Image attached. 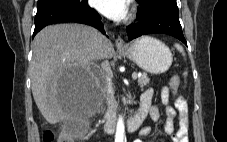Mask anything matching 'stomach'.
I'll return each mask as SVG.
<instances>
[{
  "instance_id": "0dacf381",
  "label": "stomach",
  "mask_w": 227,
  "mask_h": 142,
  "mask_svg": "<svg viewBox=\"0 0 227 142\" xmlns=\"http://www.w3.org/2000/svg\"><path fill=\"white\" fill-rule=\"evenodd\" d=\"M119 51L151 74L166 72L173 61L170 49L150 36L140 37Z\"/></svg>"
}]
</instances>
